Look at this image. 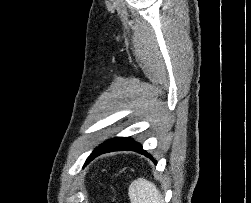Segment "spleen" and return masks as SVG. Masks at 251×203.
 Returning <instances> with one entry per match:
<instances>
[{
	"label": "spleen",
	"instance_id": "spleen-1",
	"mask_svg": "<svg viewBox=\"0 0 251 203\" xmlns=\"http://www.w3.org/2000/svg\"><path fill=\"white\" fill-rule=\"evenodd\" d=\"M131 203H163V197L154 183L138 178L129 186Z\"/></svg>",
	"mask_w": 251,
	"mask_h": 203
}]
</instances>
